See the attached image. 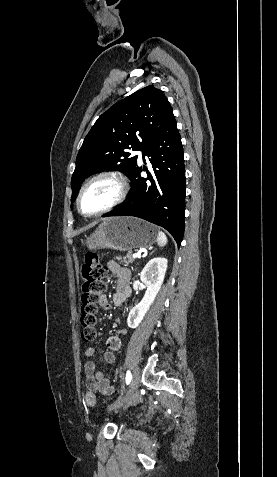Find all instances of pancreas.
<instances>
[{
  "label": "pancreas",
  "mask_w": 277,
  "mask_h": 477,
  "mask_svg": "<svg viewBox=\"0 0 277 477\" xmlns=\"http://www.w3.org/2000/svg\"><path fill=\"white\" fill-rule=\"evenodd\" d=\"M117 260L124 262L125 264L133 263L135 258L132 256L131 252H129L125 257H117Z\"/></svg>",
  "instance_id": "pancreas-1"
}]
</instances>
